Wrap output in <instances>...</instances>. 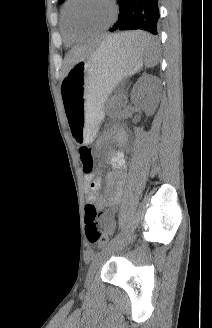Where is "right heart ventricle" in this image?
Segmentation results:
<instances>
[{
    "label": "right heart ventricle",
    "mask_w": 212,
    "mask_h": 328,
    "mask_svg": "<svg viewBox=\"0 0 212 328\" xmlns=\"http://www.w3.org/2000/svg\"><path fill=\"white\" fill-rule=\"evenodd\" d=\"M61 29H62V34H63V37H64V41L68 45L75 44L83 38L81 36H74L68 31L66 23H65V19H64V8H63V11H62V16H61Z\"/></svg>",
    "instance_id": "e07e8e85"
}]
</instances>
